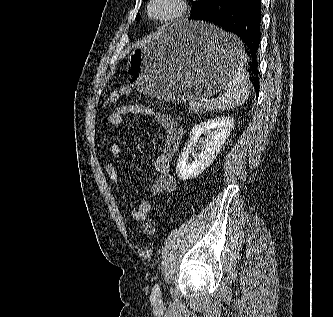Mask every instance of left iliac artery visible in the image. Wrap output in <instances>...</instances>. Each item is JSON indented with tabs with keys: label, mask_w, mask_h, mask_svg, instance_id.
<instances>
[{
	"label": "left iliac artery",
	"mask_w": 333,
	"mask_h": 317,
	"mask_svg": "<svg viewBox=\"0 0 333 317\" xmlns=\"http://www.w3.org/2000/svg\"><path fill=\"white\" fill-rule=\"evenodd\" d=\"M153 293H154L155 295H160L161 291H160V286H159V284H156V285L154 286V288H153Z\"/></svg>",
	"instance_id": "obj_1"
}]
</instances>
